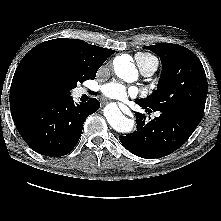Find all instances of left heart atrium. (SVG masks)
I'll use <instances>...</instances> for the list:
<instances>
[{"label": "left heart atrium", "mask_w": 221, "mask_h": 221, "mask_svg": "<svg viewBox=\"0 0 221 221\" xmlns=\"http://www.w3.org/2000/svg\"><path fill=\"white\" fill-rule=\"evenodd\" d=\"M103 93L106 97L116 100H125L128 96H133L135 92L128 89L123 84L111 82L103 87Z\"/></svg>", "instance_id": "obj_1"}]
</instances>
